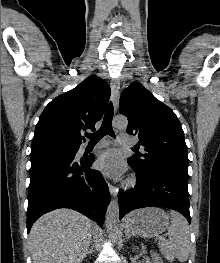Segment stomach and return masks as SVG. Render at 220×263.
<instances>
[{
	"instance_id": "obj_1",
	"label": "stomach",
	"mask_w": 220,
	"mask_h": 263,
	"mask_svg": "<svg viewBox=\"0 0 220 263\" xmlns=\"http://www.w3.org/2000/svg\"><path fill=\"white\" fill-rule=\"evenodd\" d=\"M124 226L133 235L154 237L168 228L169 216L160 208H143L129 213Z\"/></svg>"
}]
</instances>
